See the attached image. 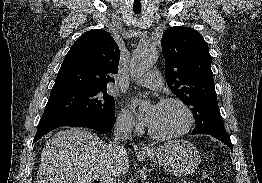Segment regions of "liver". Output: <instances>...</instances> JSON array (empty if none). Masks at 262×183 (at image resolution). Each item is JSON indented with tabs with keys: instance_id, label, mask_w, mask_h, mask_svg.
Wrapping results in <instances>:
<instances>
[{
	"instance_id": "6515ba94",
	"label": "liver",
	"mask_w": 262,
	"mask_h": 183,
	"mask_svg": "<svg viewBox=\"0 0 262 183\" xmlns=\"http://www.w3.org/2000/svg\"><path fill=\"white\" fill-rule=\"evenodd\" d=\"M129 170L128 155L91 131L61 130L46 142L36 183H93L95 176L119 178Z\"/></svg>"
}]
</instances>
